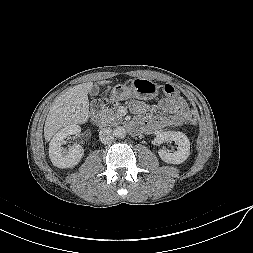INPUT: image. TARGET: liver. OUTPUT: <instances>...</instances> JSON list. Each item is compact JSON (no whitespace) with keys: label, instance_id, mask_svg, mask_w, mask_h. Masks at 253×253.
Instances as JSON below:
<instances>
[{"label":"liver","instance_id":"6515ba94","mask_svg":"<svg viewBox=\"0 0 253 253\" xmlns=\"http://www.w3.org/2000/svg\"><path fill=\"white\" fill-rule=\"evenodd\" d=\"M110 81H100L105 85ZM93 87L92 82L76 85L58 96L47 115L44 126V137L49 141L62 127L84 124L90 117L88 93Z\"/></svg>","mask_w":253,"mask_h":253}]
</instances>
